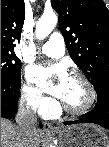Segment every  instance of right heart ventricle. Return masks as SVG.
<instances>
[{"mask_svg":"<svg viewBox=\"0 0 109 147\" xmlns=\"http://www.w3.org/2000/svg\"><path fill=\"white\" fill-rule=\"evenodd\" d=\"M56 112V110L54 108L50 109V110H46L42 113V115L44 117H49V116H53L54 113Z\"/></svg>","mask_w":109,"mask_h":147,"instance_id":"e07e8e85","label":"right heart ventricle"}]
</instances>
